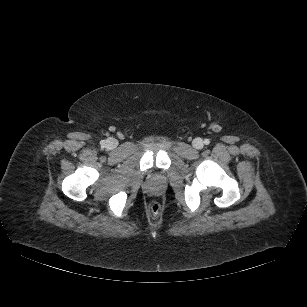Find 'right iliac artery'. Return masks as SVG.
Returning a JSON list of instances; mask_svg holds the SVG:
<instances>
[{
    "label": "right iliac artery",
    "mask_w": 307,
    "mask_h": 307,
    "mask_svg": "<svg viewBox=\"0 0 307 307\" xmlns=\"http://www.w3.org/2000/svg\"><path fill=\"white\" fill-rule=\"evenodd\" d=\"M100 144H101L102 146H104V145L106 144V142H105L104 140H102V141L100 142Z\"/></svg>",
    "instance_id": "obj_1"
}]
</instances>
